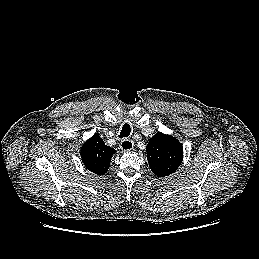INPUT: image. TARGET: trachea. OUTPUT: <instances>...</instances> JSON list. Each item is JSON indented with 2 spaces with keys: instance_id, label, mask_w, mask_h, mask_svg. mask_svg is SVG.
Segmentation results:
<instances>
[{
  "instance_id": "trachea-1",
  "label": "trachea",
  "mask_w": 259,
  "mask_h": 259,
  "mask_svg": "<svg viewBox=\"0 0 259 259\" xmlns=\"http://www.w3.org/2000/svg\"><path fill=\"white\" fill-rule=\"evenodd\" d=\"M130 132H131V128H130V125L128 123H125L122 127V130L120 132V135L119 137L120 138H125V137H128L130 135Z\"/></svg>"
}]
</instances>
